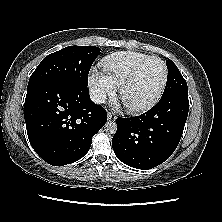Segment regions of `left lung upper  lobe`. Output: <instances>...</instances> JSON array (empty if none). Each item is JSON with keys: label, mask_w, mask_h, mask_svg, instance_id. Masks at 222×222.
Here are the masks:
<instances>
[{"label": "left lung upper lobe", "mask_w": 222, "mask_h": 222, "mask_svg": "<svg viewBox=\"0 0 222 222\" xmlns=\"http://www.w3.org/2000/svg\"><path fill=\"white\" fill-rule=\"evenodd\" d=\"M166 65L168 69V78L162 96L176 92L188 93L187 83L178 70L177 66L171 60H167Z\"/></svg>", "instance_id": "5c2ea615"}]
</instances>
